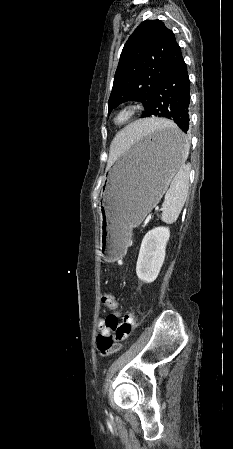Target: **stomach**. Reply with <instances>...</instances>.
I'll use <instances>...</instances> for the list:
<instances>
[{
  "label": "stomach",
  "mask_w": 233,
  "mask_h": 449,
  "mask_svg": "<svg viewBox=\"0 0 233 449\" xmlns=\"http://www.w3.org/2000/svg\"><path fill=\"white\" fill-rule=\"evenodd\" d=\"M184 133L176 126L156 128L122 157L102 185L100 254L119 259L134 227L158 204L184 162Z\"/></svg>",
  "instance_id": "0dacf381"
}]
</instances>
